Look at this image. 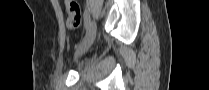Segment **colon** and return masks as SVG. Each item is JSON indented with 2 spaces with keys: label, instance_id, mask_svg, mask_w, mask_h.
<instances>
[{
  "label": "colon",
  "instance_id": "colon-1",
  "mask_svg": "<svg viewBox=\"0 0 209 90\" xmlns=\"http://www.w3.org/2000/svg\"><path fill=\"white\" fill-rule=\"evenodd\" d=\"M68 13L67 26L70 29H77L81 25V11L76 1H65Z\"/></svg>",
  "mask_w": 209,
  "mask_h": 90
}]
</instances>
